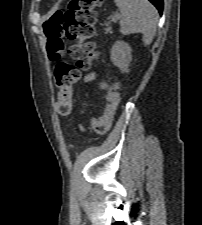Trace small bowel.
<instances>
[{"mask_svg":"<svg viewBox=\"0 0 202 225\" xmlns=\"http://www.w3.org/2000/svg\"><path fill=\"white\" fill-rule=\"evenodd\" d=\"M94 79H95V74L93 73L87 74L84 77L85 82H90V81H93Z\"/></svg>","mask_w":202,"mask_h":225,"instance_id":"small-bowel-1","label":"small bowel"}]
</instances>
